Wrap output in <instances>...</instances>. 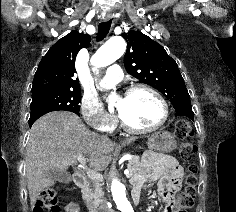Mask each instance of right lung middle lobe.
<instances>
[{"label":"right lung middle lobe","mask_w":236,"mask_h":212,"mask_svg":"<svg viewBox=\"0 0 236 212\" xmlns=\"http://www.w3.org/2000/svg\"><path fill=\"white\" fill-rule=\"evenodd\" d=\"M81 91L55 90L32 94L31 116L29 121L51 111H71L79 114Z\"/></svg>","instance_id":"right-lung-middle-lobe-1"}]
</instances>
